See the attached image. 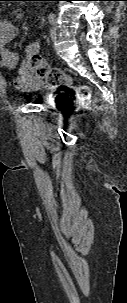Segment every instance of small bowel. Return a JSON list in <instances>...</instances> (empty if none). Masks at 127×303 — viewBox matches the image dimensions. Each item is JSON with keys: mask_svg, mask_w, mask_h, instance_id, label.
Returning <instances> with one entry per match:
<instances>
[{"mask_svg": "<svg viewBox=\"0 0 127 303\" xmlns=\"http://www.w3.org/2000/svg\"><path fill=\"white\" fill-rule=\"evenodd\" d=\"M18 35V27L7 19L0 18V64L7 69H14L19 62L16 52L9 50L8 45ZM39 43H32L26 49V57L19 67V76L14 80V86L21 91L39 89L43 81L35 73L30 63V54L39 52Z\"/></svg>", "mask_w": 127, "mask_h": 303, "instance_id": "obj_1", "label": "small bowel"}]
</instances>
